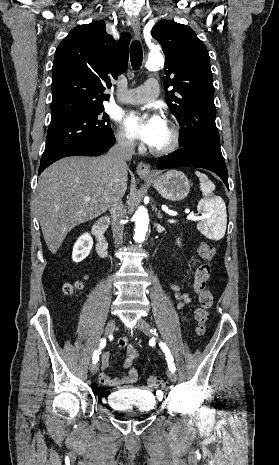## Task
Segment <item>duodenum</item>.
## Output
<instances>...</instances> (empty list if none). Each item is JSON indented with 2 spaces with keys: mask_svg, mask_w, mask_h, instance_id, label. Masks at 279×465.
Wrapping results in <instances>:
<instances>
[{
  "mask_svg": "<svg viewBox=\"0 0 279 465\" xmlns=\"http://www.w3.org/2000/svg\"><path fill=\"white\" fill-rule=\"evenodd\" d=\"M108 224L109 217L105 216L98 219L92 227V234L96 239V250L100 257H106L108 254V243L104 236Z\"/></svg>",
  "mask_w": 279,
  "mask_h": 465,
  "instance_id": "1",
  "label": "duodenum"
}]
</instances>
